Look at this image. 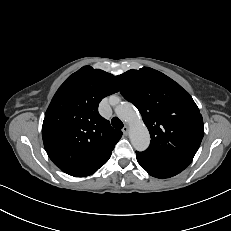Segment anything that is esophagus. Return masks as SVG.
Returning a JSON list of instances; mask_svg holds the SVG:
<instances>
[{
    "label": "esophagus",
    "instance_id": "1",
    "mask_svg": "<svg viewBox=\"0 0 231 231\" xmlns=\"http://www.w3.org/2000/svg\"><path fill=\"white\" fill-rule=\"evenodd\" d=\"M122 132H123L124 135H127V134H128V132H129V127H128V125H125V126L123 127Z\"/></svg>",
    "mask_w": 231,
    "mask_h": 231
}]
</instances>
